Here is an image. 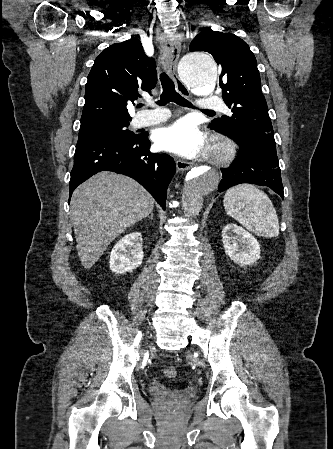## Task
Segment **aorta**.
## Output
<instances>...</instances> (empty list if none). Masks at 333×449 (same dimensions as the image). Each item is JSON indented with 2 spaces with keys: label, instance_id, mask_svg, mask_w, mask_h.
Listing matches in <instances>:
<instances>
[{
  "label": "aorta",
  "instance_id": "1",
  "mask_svg": "<svg viewBox=\"0 0 333 449\" xmlns=\"http://www.w3.org/2000/svg\"><path fill=\"white\" fill-rule=\"evenodd\" d=\"M179 74L188 88L201 94L211 93L218 77L216 63L206 52L184 56L179 63ZM219 182V171L212 167H197L186 175L181 194L187 217L195 218L201 212L204 196L215 192Z\"/></svg>",
  "mask_w": 333,
  "mask_h": 449
}]
</instances>
